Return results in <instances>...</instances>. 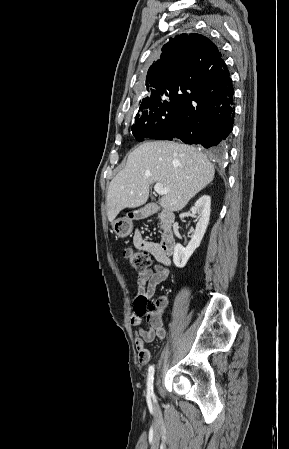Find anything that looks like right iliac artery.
Instances as JSON below:
<instances>
[{
    "instance_id": "obj_1",
    "label": "right iliac artery",
    "mask_w": 289,
    "mask_h": 449,
    "mask_svg": "<svg viewBox=\"0 0 289 449\" xmlns=\"http://www.w3.org/2000/svg\"><path fill=\"white\" fill-rule=\"evenodd\" d=\"M154 366H150L148 369L147 378V397L150 399L153 396V380H154Z\"/></svg>"
}]
</instances>
